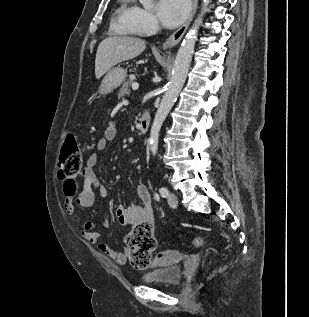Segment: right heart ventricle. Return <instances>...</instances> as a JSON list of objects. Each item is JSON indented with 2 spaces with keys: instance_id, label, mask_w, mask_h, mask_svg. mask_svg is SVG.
I'll return each instance as SVG.
<instances>
[{
  "instance_id": "right-heart-ventricle-1",
  "label": "right heart ventricle",
  "mask_w": 309,
  "mask_h": 317,
  "mask_svg": "<svg viewBox=\"0 0 309 317\" xmlns=\"http://www.w3.org/2000/svg\"><path fill=\"white\" fill-rule=\"evenodd\" d=\"M121 4L117 10V17L115 24L119 31L125 35H137L138 31L132 26L130 22V15L133 6L130 5L129 0H120Z\"/></svg>"
}]
</instances>
